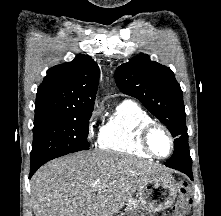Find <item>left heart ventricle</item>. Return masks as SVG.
<instances>
[{
    "mask_svg": "<svg viewBox=\"0 0 221 216\" xmlns=\"http://www.w3.org/2000/svg\"><path fill=\"white\" fill-rule=\"evenodd\" d=\"M151 145L155 152L159 155H166L170 151V142L166 134L160 130H156L151 136Z\"/></svg>",
    "mask_w": 221,
    "mask_h": 216,
    "instance_id": "b2bd125f",
    "label": "left heart ventricle"
}]
</instances>
